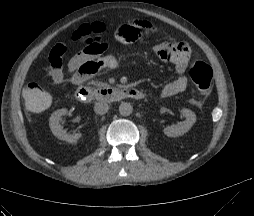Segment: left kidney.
I'll return each instance as SVG.
<instances>
[{
	"label": "left kidney",
	"instance_id": "obj_1",
	"mask_svg": "<svg viewBox=\"0 0 254 216\" xmlns=\"http://www.w3.org/2000/svg\"><path fill=\"white\" fill-rule=\"evenodd\" d=\"M185 120L174 126L164 128V134L168 137H178L188 132L196 122V115L190 109L183 108L181 110Z\"/></svg>",
	"mask_w": 254,
	"mask_h": 216
}]
</instances>
